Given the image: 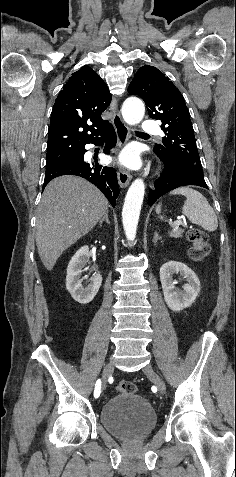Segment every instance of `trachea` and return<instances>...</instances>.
<instances>
[{
	"mask_svg": "<svg viewBox=\"0 0 236 477\" xmlns=\"http://www.w3.org/2000/svg\"><path fill=\"white\" fill-rule=\"evenodd\" d=\"M137 134H145V133H142V132H136Z\"/></svg>",
	"mask_w": 236,
	"mask_h": 477,
	"instance_id": "trachea-1",
	"label": "trachea"
}]
</instances>
